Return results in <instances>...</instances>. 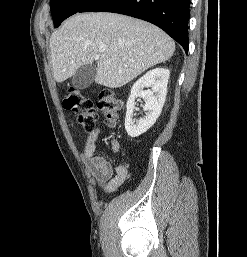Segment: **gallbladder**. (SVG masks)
I'll return each mask as SVG.
<instances>
[{"label":"gallbladder","mask_w":247,"mask_h":257,"mask_svg":"<svg viewBox=\"0 0 247 257\" xmlns=\"http://www.w3.org/2000/svg\"><path fill=\"white\" fill-rule=\"evenodd\" d=\"M96 73L97 66L95 64L83 65L73 75L72 85L77 89H85L93 83Z\"/></svg>","instance_id":"obj_1"}]
</instances>
